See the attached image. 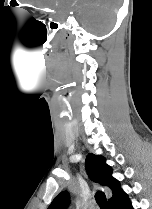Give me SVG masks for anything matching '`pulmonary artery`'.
Instances as JSON below:
<instances>
[{"instance_id":"pulmonary-artery-1","label":"pulmonary artery","mask_w":152,"mask_h":209,"mask_svg":"<svg viewBox=\"0 0 152 209\" xmlns=\"http://www.w3.org/2000/svg\"><path fill=\"white\" fill-rule=\"evenodd\" d=\"M89 209H97V207L95 205H92Z\"/></svg>"}]
</instances>
